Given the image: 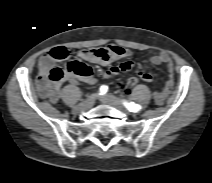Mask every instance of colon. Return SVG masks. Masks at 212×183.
Returning <instances> with one entry per match:
<instances>
[{
    "label": "colon",
    "mask_w": 212,
    "mask_h": 183,
    "mask_svg": "<svg viewBox=\"0 0 212 183\" xmlns=\"http://www.w3.org/2000/svg\"><path fill=\"white\" fill-rule=\"evenodd\" d=\"M50 55L56 61L65 60L69 56V50L64 47H57L52 49ZM66 73H73L79 76H85L88 74V67L79 61H68L64 67H53L47 74V79L52 83L61 82ZM139 80L136 77H131L126 81L125 88L131 89L138 84Z\"/></svg>",
    "instance_id": "colon-1"
}]
</instances>
